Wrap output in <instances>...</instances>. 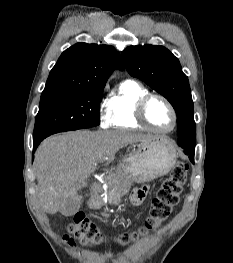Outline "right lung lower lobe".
<instances>
[{
	"label": "right lung lower lobe",
	"mask_w": 233,
	"mask_h": 263,
	"mask_svg": "<svg viewBox=\"0 0 233 263\" xmlns=\"http://www.w3.org/2000/svg\"><path fill=\"white\" fill-rule=\"evenodd\" d=\"M43 139H40V140H37V141H33V149L35 151V149L38 147V145L40 144V142L42 141ZM34 158V156H33Z\"/></svg>",
	"instance_id": "right-lung-lower-lobe-1"
}]
</instances>
